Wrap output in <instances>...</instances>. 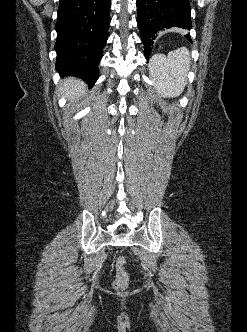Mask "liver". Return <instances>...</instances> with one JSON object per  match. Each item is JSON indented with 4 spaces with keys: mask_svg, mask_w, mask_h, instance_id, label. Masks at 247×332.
Segmentation results:
<instances>
[{
    "mask_svg": "<svg viewBox=\"0 0 247 332\" xmlns=\"http://www.w3.org/2000/svg\"><path fill=\"white\" fill-rule=\"evenodd\" d=\"M60 91L64 97L69 98L71 101L78 99L81 95L85 94L86 85L79 79L68 78L61 82Z\"/></svg>",
    "mask_w": 247,
    "mask_h": 332,
    "instance_id": "1",
    "label": "liver"
}]
</instances>
